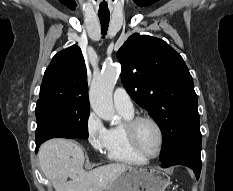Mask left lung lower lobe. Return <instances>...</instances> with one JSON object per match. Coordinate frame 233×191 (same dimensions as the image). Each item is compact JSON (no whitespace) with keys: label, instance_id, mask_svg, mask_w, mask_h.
I'll list each match as a JSON object with an SVG mask.
<instances>
[{"label":"left lung lower lobe","instance_id":"0a47b994","mask_svg":"<svg viewBox=\"0 0 233 191\" xmlns=\"http://www.w3.org/2000/svg\"><path fill=\"white\" fill-rule=\"evenodd\" d=\"M172 165H184L191 168L198 180L201 172V142L186 144L173 152L161 166L167 168Z\"/></svg>","mask_w":233,"mask_h":191}]
</instances>
